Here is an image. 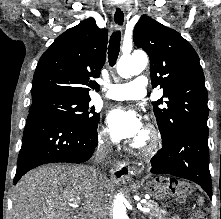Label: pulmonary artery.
Segmentation results:
<instances>
[{
	"instance_id": "e3ab8cb5",
	"label": "pulmonary artery",
	"mask_w": 221,
	"mask_h": 219,
	"mask_svg": "<svg viewBox=\"0 0 221 219\" xmlns=\"http://www.w3.org/2000/svg\"><path fill=\"white\" fill-rule=\"evenodd\" d=\"M146 92V77L137 76L130 83L108 85L105 97L112 100H138L143 98Z\"/></svg>"
}]
</instances>
